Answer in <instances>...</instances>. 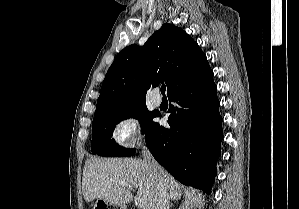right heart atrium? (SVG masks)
I'll return each mask as SVG.
<instances>
[{
    "instance_id": "d8ad5b80",
    "label": "right heart atrium",
    "mask_w": 299,
    "mask_h": 209,
    "mask_svg": "<svg viewBox=\"0 0 299 209\" xmlns=\"http://www.w3.org/2000/svg\"><path fill=\"white\" fill-rule=\"evenodd\" d=\"M144 137L142 122L132 113L120 115L114 122L110 138L112 142L124 148L139 146Z\"/></svg>"
}]
</instances>
